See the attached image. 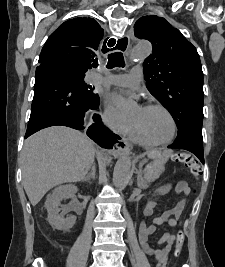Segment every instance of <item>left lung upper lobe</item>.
<instances>
[{"label":"left lung upper lobe","instance_id":"obj_1","mask_svg":"<svg viewBox=\"0 0 225 267\" xmlns=\"http://www.w3.org/2000/svg\"><path fill=\"white\" fill-rule=\"evenodd\" d=\"M135 35L152 43L144 63L149 92L170 112L178 127L177 139L203 122V72L196 48L164 18L144 16Z\"/></svg>","mask_w":225,"mask_h":267}]
</instances>
